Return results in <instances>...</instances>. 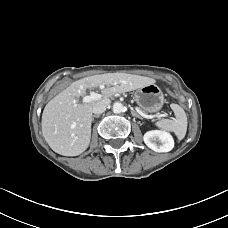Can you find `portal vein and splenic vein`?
<instances>
[{
	"mask_svg": "<svg viewBox=\"0 0 228 228\" xmlns=\"http://www.w3.org/2000/svg\"><path fill=\"white\" fill-rule=\"evenodd\" d=\"M101 97H102V95L97 94L94 91H91L90 95L83 97L82 102L83 103H88V102H91V101L99 100V99H101ZM141 115L144 116L145 118H152L151 115H145L143 113H141ZM160 116H164V115H160Z\"/></svg>",
	"mask_w": 228,
	"mask_h": 228,
	"instance_id": "obj_1",
	"label": "portal vein and splenic vein"
}]
</instances>
